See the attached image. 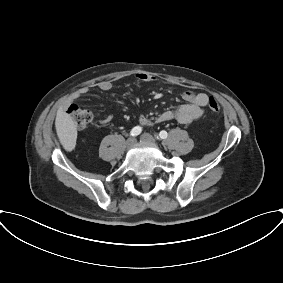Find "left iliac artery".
Here are the masks:
<instances>
[{
    "label": "left iliac artery",
    "mask_w": 283,
    "mask_h": 283,
    "mask_svg": "<svg viewBox=\"0 0 283 283\" xmlns=\"http://www.w3.org/2000/svg\"><path fill=\"white\" fill-rule=\"evenodd\" d=\"M168 136L167 132L165 130L160 131L159 135L157 136L160 139H166Z\"/></svg>",
    "instance_id": "1"
}]
</instances>
